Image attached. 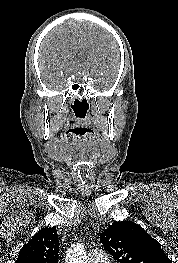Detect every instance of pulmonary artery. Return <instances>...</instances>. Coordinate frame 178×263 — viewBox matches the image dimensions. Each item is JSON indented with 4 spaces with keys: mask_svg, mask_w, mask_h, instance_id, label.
<instances>
[{
    "mask_svg": "<svg viewBox=\"0 0 178 263\" xmlns=\"http://www.w3.org/2000/svg\"><path fill=\"white\" fill-rule=\"evenodd\" d=\"M89 263H109L107 255L99 250L93 249L88 254Z\"/></svg>",
    "mask_w": 178,
    "mask_h": 263,
    "instance_id": "pulmonary-artery-1",
    "label": "pulmonary artery"
}]
</instances>
